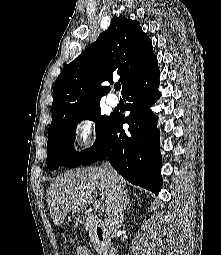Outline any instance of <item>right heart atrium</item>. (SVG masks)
<instances>
[{
	"instance_id": "1",
	"label": "right heart atrium",
	"mask_w": 221,
	"mask_h": 255,
	"mask_svg": "<svg viewBox=\"0 0 221 255\" xmlns=\"http://www.w3.org/2000/svg\"><path fill=\"white\" fill-rule=\"evenodd\" d=\"M96 128L94 120L88 116L83 115L75 123L74 126V143L79 148L87 147L95 140Z\"/></svg>"
}]
</instances>
